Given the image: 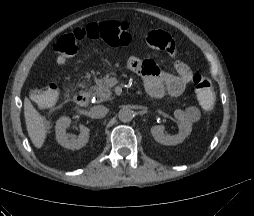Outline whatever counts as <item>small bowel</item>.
Masks as SVG:
<instances>
[{"mask_svg": "<svg viewBox=\"0 0 254 216\" xmlns=\"http://www.w3.org/2000/svg\"><path fill=\"white\" fill-rule=\"evenodd\" d=\"M145 41L153 51L164 52L165 59L175 72L162 70L151 60H140L132 56L126 59L127 66L143 75L149 95L156 98L179 97L190 83L192 72L175 52L172 37L163 29H150L145 34Z\"/></svg>", "mask_w": 254, "mask_h": 216, "instance_id": "1", "label": "small bowel"}]
</instances>
